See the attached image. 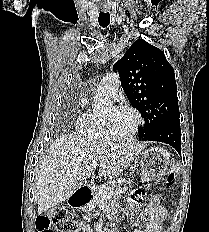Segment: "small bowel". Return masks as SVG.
Returning <instances> with one entry per match:
<instances>
[{
	"instance_id": "obj_1",
	"label": "small bowel",
	"mask_w": 209,
	"mask_h": 232,
	"mask_svg": "<svg viewBox=\"0 0 209 232\" xmlns=\"http://www.w3.org/2000/svg\"><path fill=\"white\" fill-rule=\"evenodd\" d=\"M146 185H133V190H130V199L134 205H143L144 199H146ZM133 212V205L126 208V213L131 214ZM109 215L114 216L115 211L109 210ZM143 217L147 221L146 229L136 230L134 232H161L162 223L167 217V209L160 204V199L157 194H153L148 203L146 204ZM82 232H93L91 227L87 224L82 225Z\"/></svg>"
}]
</instances>
